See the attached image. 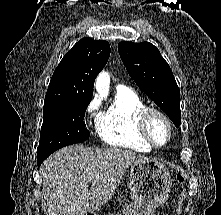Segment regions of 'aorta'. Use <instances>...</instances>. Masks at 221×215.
I'll return each mask as SVG.
<instances>
[{
	"label": "aorta",
	"mask_w": 221,
	"mask_h": 215,
	"mask_svg": "<svg viewBox=\"0 0 221 215\" xmlns=\"http://www.w3.org/2000/svg\"><path fill=\"white\" fill-rule=\"evenodd\" d=\"M95 88L99 95L107 96L110 89V75L107 71H102L95 82Z\"/></svg>",
	"instance_id": "aorta-1"
}]
</instances>
